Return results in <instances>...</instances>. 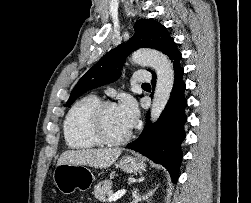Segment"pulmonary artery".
I'll use <instances>...</instances> for the list:
<instances>
[{"instance_id":"1","label":"pulmonary artery","mask_w":251,"mask_h":203,"mask_svg":"<svg viewBox=\"0 0 251 203\" xmlns=\"http://www.w3.org/2000/svg\"><path fill=\"white\" fill-rule=\"evenodd\" d=\"M152 79V74L148 72L137 71L135 73V82L148 83Z\"/></svg>"}]
</instances>
